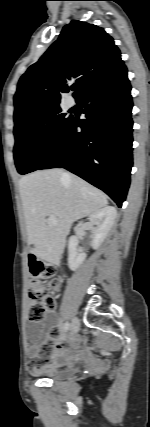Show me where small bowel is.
<instances>
[{"instance_id": "obj_1", "label": "small bowel", "mask_w": 150, "mask_h": 427, "mask_svg": "<svg viewBox=\"0 0 150 427\" xmlns=\"http://www.w3.org/2000/svg\"><path fill=\"white\" fill-rule=\"evenodd\" d=\"M55 325L56 318L50 314L42 323L33 325L30 329V336L34 344L28 347L27 354L30 358L29 370L33 374L49 371V366L45 367V365L52 349L58 351L71 345L73 348L78 346L76 341L69 343L59 340L60 333L55 328Z\"/></svg>"}]
</instances>
